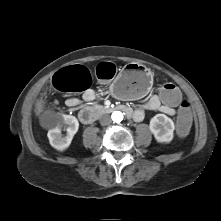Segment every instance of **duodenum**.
<instances>
[{
    "mask_svg": "<svg viewBox=\"0 0 221 221\" xmlns=\"http://www.w3.org/2000/svg\"><path fill=\"white\" fill-rule=\"evenodd\" d=\"M115 110L122 111L129 117L133 114L132 109L126 105H118L107 108L85 107L79 112V119L84 124H90L97 120L103 113H110Z\"/></svg>",
    "mask_w": 221,
    "mask_h": 221,
    "instance_id": "1",
    "label": "duodenum"
}]
</instances>
